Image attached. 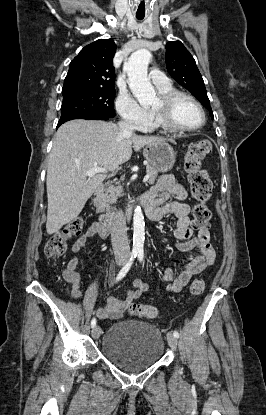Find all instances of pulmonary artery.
<instances>
[{
    "instance_id": "e3ab8cb5",
    "label": "pulmonary artery",
    "mask_w": 266,
    "mask_h": 415,
    "mask_svg": "<svg viewBox=\"0 0 266 415\" xmlns=\"http://www.w3.org/2000/svg\"><path fill=\"white\" fill-rule=\"evenodd\" d=\"M150 78L156 86H166L170 84L169 79L157 69H152L150 71Z\"/></svg>"
}]
</instances>
